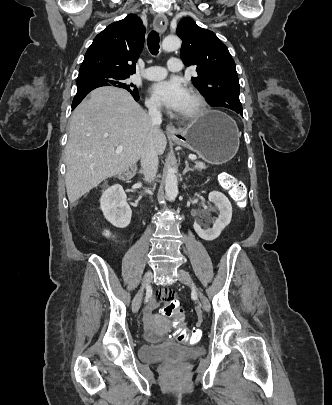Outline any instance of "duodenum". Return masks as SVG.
<instances>
[{"mask_svg": "<svg viewBox=\"0 0 332 405\" xmlns=\"http://www.w3.org/2000/svg\"><path fill=\"white\" fill-rule=\"evenodd\" d=\"M130 178H131V175L126 174V175L122 176L121 180L126 181V180H129Z\"/></svg>", "mask_w": 332, "mask_h": 405, "instance_id": "obj_1", "label": "duodenum"}]
</instances>
